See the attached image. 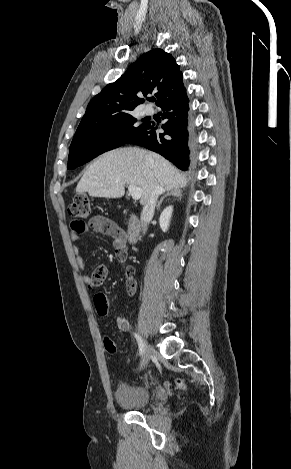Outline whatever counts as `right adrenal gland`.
<instances>
[{"mask_svg":"<svg viewBox=\"0 0 291 469\" xmlns=\"http://www.w3.org/2000/svg\"><path fill=\"white\" fill-rule=\"evenodd\" d=\"M168 196H174V197H178V198L181 199V197H182V192H181L180 189H177V188L167 190L166 194H165V195L160 199V201L158 202L157 207H156L157 210L160 208V205L162 204L163 200H164L166 197H168Z\"/></svg>","mask_w":291,"mask_h":469,"instance_id":"right-adrenal-gland-1","label":"right adrenal gland"}]
</instances>
